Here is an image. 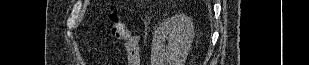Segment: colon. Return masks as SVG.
<instances>
[{"label":"colon","mask_w":309,"mask_h":65,"mask_svg":"<svg viewBox=\"0 0 309 65\" xmlns=\"http://www.w3.org/2000/svg\"><path fill=\"white\" fill-rule=\"evenodd\" d=\"M108 29L110 36L115 40L126 38L127 30L124 24L120 21L118 15L111 14L108 18Z\"/></svg>","instance_id":"5ec220e1"}]
</instances>
